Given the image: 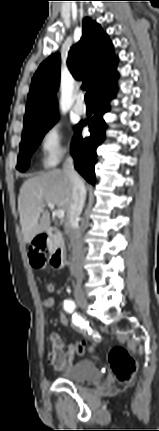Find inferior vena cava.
<instances>
[{
  "label": "inferior vena cava",
  "instance_id": "obj_1",
  "mask_svg": "<svg viewBox=\"0 0 159 431\" xmlns=\"http://www.w3.org/2000/svg\"><path fill=\"white\" fill-rule=\"evenodd\" d=\"M63 170L68 174L72 183V203L70 205L69 217L65 222V232L69 238L70 247L75 259L71 270L77 281L76 291H80L83 279L80 260L82 259L84 252L83 242L79 231V216L84 206L86 188L81 177L74 169L72 157L69 156L66 158L63 164Z\"/></svg>",
  "mask_w": 159,
  "mask_h": 431
}]
</instances>
